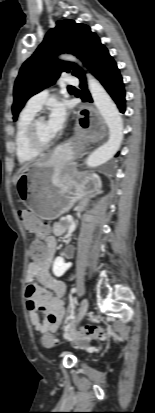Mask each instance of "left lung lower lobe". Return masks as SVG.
I'll list each match as a JSON object with an SVG mask.
<instances>
[{
	"mask_svg": "<svg viewBox=\"0 0 155 413\" xmlns=\"http://www.w3.org/2000/svg\"><path fill=\"white\" fill-rule=\"evenodd\" d=\"M91 73L101 82L105 87L109 95L115 101L117 107L121 113L125 112V90L122 81V76L120 75L119 69L117 68L116 62L110 56L106 47H104L98 56L95 58L90 66ZM81 83L80 87L82 91L83 102H92L89 91L86 86L85 75L79 77ZM119 154V153H118ZM118 154L116 156H118Z\"/></svg>",
	"mask_w": 155,
	"mask_h": 413,
	"instance_id": "1",
	"label": "left lung lower lobe"
}]
</instances>
